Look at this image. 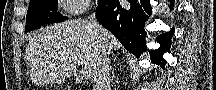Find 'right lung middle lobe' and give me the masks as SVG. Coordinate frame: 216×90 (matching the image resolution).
Instances as JSON below:
<instances>
[{"label":"right lung middle lobe","mask_w":216,"mask_h":90,"mask_svg":"<svg viewBox=\"0 0 216 90\" xmlns=\"http://www.w3.org/2000/svg\"><path fill=\"white\" fill-rule=\"evenodd\" d=\"M102 1H99L101 3ZM57 1H30L26 15L25 32L32 31L48 23H58L67 19L57 12Z\"/></svg>","instance_id":"obj_1"}]
</instances>
